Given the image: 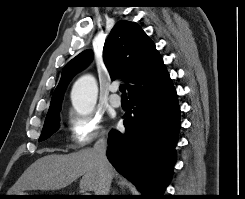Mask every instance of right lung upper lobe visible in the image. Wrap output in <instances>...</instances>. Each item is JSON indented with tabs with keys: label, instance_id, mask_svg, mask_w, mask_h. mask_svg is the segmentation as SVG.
<instances>
[{
	"label": "right lung upper lobe",
	"instance_id": "obj_1",
	"mask_svg": "<svg viewBox=\"0 0 245 199\" xmlns=\"http://www.w3.org/2000/svg\"><path fill=\"white\" fill-rule=\"evenodd\" d=\"M103 58L111 79H124L128 96L150 91L170 78L155 44L134 22L119 21L113 27L104 44ZM91 60V50H85L65 65L47 116L61 109L64 92L72 77Z\"/></svg>",
	"mask_w": 245,
	"mask_h": 199
}]
</instances>
